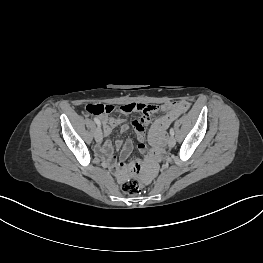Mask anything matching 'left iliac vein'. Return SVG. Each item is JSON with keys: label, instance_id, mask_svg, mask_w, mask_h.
<instances>
[{"label": "left iliac vein", "instance_id": "left-iliac-vein-1", "mask_svg": "<svg viewBox=\"0 0 263 263\" xmlns=\"http://www.w3.org/2000/svg\"><path fill=\"white\" fill-rule=\"evenodd\" d=\"M175 143H176L175 138L173 136H170L169 139H168L169 147H174Z\"/></svg>", "mask_w": 263, "mask_h": 263}]
</instances>
